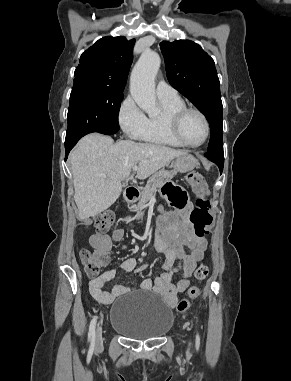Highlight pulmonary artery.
<instances>
[{
	"mask_svg": "<svg viewBox=\"0 0 291 381\" xmlns=\"http://www.w3.org/2000/svg\"><path fill=\"white\" fill-rule=\"evenodd\" d=\"M156 94L158 98L173 99L178 97V92L168 83L163 80H159L156 86Z\"/></svg>",
	"mask_w": 291,
	"mask_h": 381,
	"instance_id": "obj_1",
	"label": "pulmonary artery"
}]
</instances>
